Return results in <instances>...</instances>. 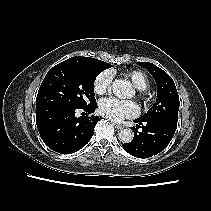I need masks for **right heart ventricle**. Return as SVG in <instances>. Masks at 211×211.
Instances as JSON below:
<instances>
[{"label": "right heart ventricle", "mask_w": 211, "mask_h": 211, "mask_svg": "<svg viewBox=\"0 0 211 211\" xmlns=\"http://www.w3.org/2000/svg\"><path fill=\"white\" fill-rule=\"evenodd\" d=\"M125 75L132 81L133 85L138 90H145L149 87V78L143 71L131 70L126 72Z\"/></svg>", "instance_id": "obj_1"}]
</instances>
